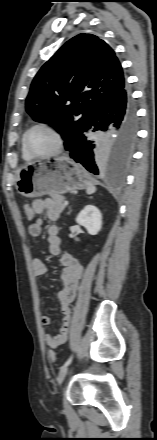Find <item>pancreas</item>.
Masks as SVG:
<instances>
[{
	"mask_svg": "<svg viewBox=\"0 0 157 440\" xmlns=\"http://www.w3.org/2000/svg\"><path fill=\"white\" fill-rule=\"evenodd\" d=\"M54 209L60 214L65 209L64 205L65 198L61 195H52Z\"/></svg>",
	"mask_w": 157,
	"mask_h": 440,
	"instance_id": "1",
	"label": "pancreas"
}]
</instances>
